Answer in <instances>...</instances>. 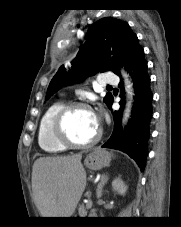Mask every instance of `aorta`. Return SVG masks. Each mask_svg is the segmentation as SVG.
Masks as SVG:
<instances>
[{"label":"aorta","mask_w":181,"mask_h":227,"mask_svg":"<svg viewBox=\"0 0 181 227\" xmlns=\"http://www.w3.org/2000/svg\"><path fill=\"white\" fill-rule=\"evenodd\" d=\"M123 75L125 77V85H126V88L128 90H130L131 89V83L127 79L125 73H123ZM127 99H128V101H127L126 110H125V114H124V121H127V119L129 118V115H130V109H131V101H130V99H131V95H130L129 92L127 94Z\"/></svg>","instance_id":"aorta-1"}]
</instances>
